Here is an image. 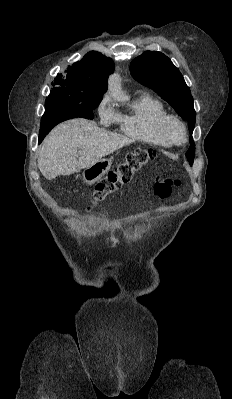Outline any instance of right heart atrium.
I'll return each mask as SVG.
<instances>
[{
	"label": "right heart atrium",
	"instance_id": "obj_1",
	"mask_svg": "<svg viewBox=\"0 0 232 399\" xmlns=\"http://www.w3.org/2000/svg\"><path fill=\"white\" fill-rule=\"evenodd\" d=\"M97 112L100 124L103 126L107 127L118 120L117 112L107 101H103L101 105L98 106Z\"/></svg>",
	"mask_w": 232,
	"mask_h": 399
}]
</instances>
